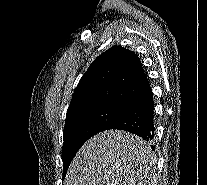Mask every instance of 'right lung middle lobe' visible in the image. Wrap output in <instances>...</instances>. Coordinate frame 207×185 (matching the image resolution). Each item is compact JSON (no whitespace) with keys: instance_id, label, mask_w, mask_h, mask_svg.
Segmentation results:
<instances>
[{"instance_id":"right-lung-middle-lobe-1","label":"right lung middle lobe","mask_w":207,"mask_h":185,"mask_svg":"<svg viewBox=\"0 0 207 185\" xmlns=\"http://www.w3.org/2000/svg\"><path fill=\"white\" fill-rule=\"evenodd\" d=\"M122 110L111 106L88 108L66 117L63 131V176L80 147L93 135L104 131Z\"/></svg>"}]
</instances>
